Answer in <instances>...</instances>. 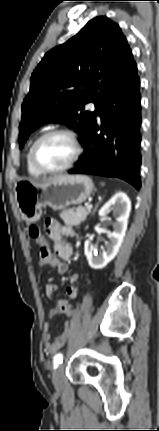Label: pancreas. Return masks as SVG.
Returning <instances> with one entry per match:
<instances>
[{
	"mask_svg": "<svg viewBox=\"0 0 159 431\" xmlns=\"http://www.w3.org/2000/svg\"><path fill=\"white\" fill-rule=\"evenodd\" d=\"M90 212L91 211L88 209L78 207L64 210L59 214V216L65 222V224L70 226H79L81 222L86 220Z\"/></svg>",
	"mask_w": 159,
	"mask_h": 431,
	"instance_id": "pancreas-1",
	"label": "pancreas"
}]
</instances>
